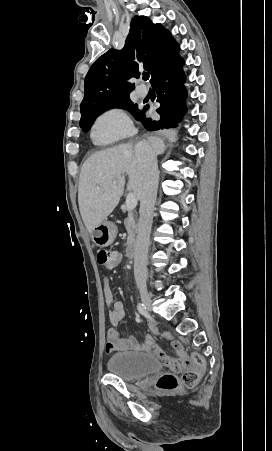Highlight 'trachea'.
I'll use <instances>...</instances> for the list:
<instances>
[{"mask_svg": "<svg viewBox=\"0 0 272 451\" xmlns=\"http://www.w3.org/2000/svg\"><path fill=\"white\" fill-rule=\"evenodd\" d=\"M148 79H149V74L143 73V80H148Z\"/></svg>", "mask_w": 272, "mask_h": 451, "instance_id": "obj_1", "label": "trachea"}]
</instances>
